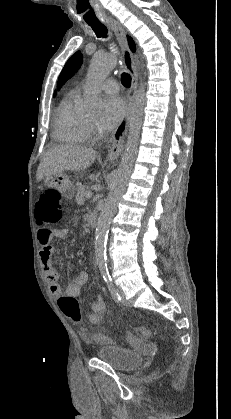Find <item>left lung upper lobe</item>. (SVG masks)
I'll list each match as a JSON object with an SVG mask.
<instances>
[{
    "instance_id": "1",
    "label": "left lung upper lobe",
    "mask_w": 231,
    "mask_h": 419,
    "mask_svg": "<svg viewBox=\"0 0 231 419\" xmlns=\"http://www.w3.org/2000/svg\"><path fill=\"white\" fill-rule=\"evenodd\" d=\"M83 56L80 51L74 53L62 69L57 87L58 89L80 68Z\"/></svg>"
}]
</instances>
